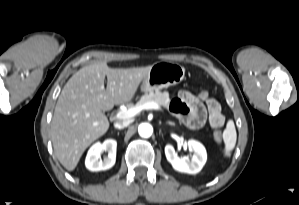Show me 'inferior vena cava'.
<instances>
[{
	"label": "inferior vena cava",
	"instance_id": "602c4592",
	"mask_svg": "<svg viewBox=\"0 0 299 205\" xmlns=\"http://www.w3.org/2000/svg\"><path fill=\"white\" fill-rule=\"evenodd\" d=\"M129 124H130L129 120L118 121L114 124V127L117 129H123V128L127 127Z\"/></svg>",
	"mask_w": 299,
	"mask_h": 205
}]
</instances>
